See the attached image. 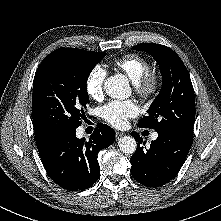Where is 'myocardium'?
<instances>
[{
    "label": "myocardium",
    "mask_w": 221,
    "mask_h": 221,
    "mask_svg": "<svg viewBox=\"0 0 221 221\" xmlns=\"http://www.w3.org/2000/svg\"><path fill=\"white\" fill-rule=\"evenodd\" d=\"M161 87V76L155 71H148L135 83L137 93L144 98H151Z\"/></svg>",
    "instance_id": "f54148a6"
}]
</instances>
